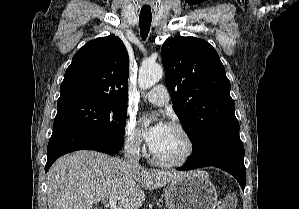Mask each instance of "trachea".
I'll return each instance as SVG.
<instances>
[{"mask_svg":"<svg viewBox=\"0 0 299 209\" xmlns=\"http://www.w3.org/2000/svg\"><path fill=\"white\" fill-rule=\"evenodd\" d=\"M140 22V33L143 40H146L148 33L150 31V25L152 22V17H139Z\"/></svg>","mask_w":299,"mask_h":209,"instance_id":"trachea-1","label":"trachea"}]
</instances>
